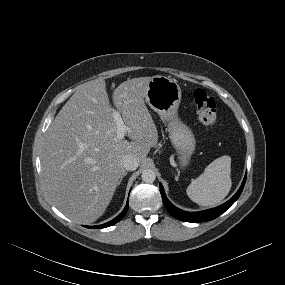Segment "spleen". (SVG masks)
Returning a JSON list of instances; mask_svg holds the SVG:
<instances>
[{"mask_svg": "<svg viewBox=\"0 0 285 285\" xmlns=\"http://www.w3.org/2000/svg\"><path fill=\"white\" fill-rule=\"evenodd\" d=\"M231 158L222 156L215 159L196 180L187 187L188 197L201 206L219 204L229 193L231 181Z\"/></svg>", "mask_w": 285, "mask_h": 285, "instance_id": "spleen-1", "label": "spleen"}]
</instances>
